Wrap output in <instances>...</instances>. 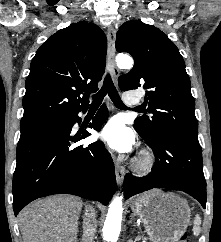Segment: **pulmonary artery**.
Masks as SVG:
<instances>
[{
	"label": "pulmonary artery",
	"instance_id": "e3ab8cb5",
	"mask_svg": "<svg viewBox=\"0 0 221 242\" xmlns=\"http://www.w3.org/2000/svg\"><path fill=\"white\" fill-rule=\"evenodd\" d=\"M124 101L129 105H135L138 103V101L133 98V92H127L123 95Z\"/></svg>",
	"mask_w": 221,
	"mask_h": 242
}]
</instances>
